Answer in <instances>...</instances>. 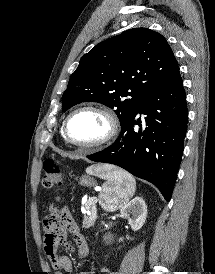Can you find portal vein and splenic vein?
I'll return each mask as SVG.
<instances>
[{
    "label": "portal vein and splenic vein",
    "instance_id": "obj_1",
    "mask_svg": "<svg viewBox=\"0 0 215 274\" xmlns=\"http://www.w3.org/2000/svg\"><path fill=\"white\" fill-rule=\"evenodd\" d=\"M99 191V190H98ZM95 199V201L97 202V198L93 197Z\"/></svg>",
    "mask_w": 215,
    "mask_h": 274
}]
</instances>
